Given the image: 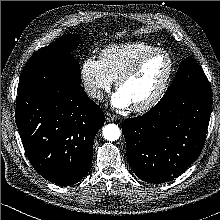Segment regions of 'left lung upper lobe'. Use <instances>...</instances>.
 Listing matches in <instances>:
<instances>
[{
    "mask_svg": "<svg viewBox=\"0 0 220 220\" xmlns=\"http://www.w3.org/2000/svg\"><path fill=\"white\" fill-rule=\"evenodd\" d=\"M209 87V81L201 66L193 58L188 57L181 62L173 83L161 100L173 99L188 91Z\"/></svg>",
    "mask_w": 220,
    "mask_h": 220,
    "instance_id": "5c2ea615",
    "label": "left lung upper lobe"
}]
</instances>
